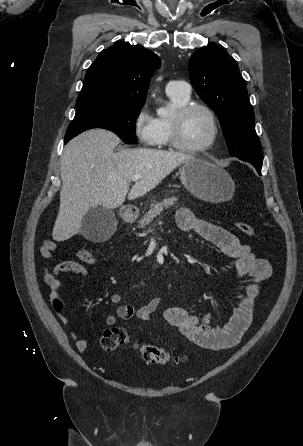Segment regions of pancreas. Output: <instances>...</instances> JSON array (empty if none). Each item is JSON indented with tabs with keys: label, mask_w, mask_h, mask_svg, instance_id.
I'll list each match as a JSON object with an SVG mask.
<instances>
[{
	"label": "pancreas",
	"mask_w": 303,
	"mask_h": 446,
	"mask_svg": "<svg viewBox=\"0 0 303 446\" xmlns=\"http://www.w3.org/2000/svg\"><path fill=\"white\" fill-rule=\"evenodd\" d=\"M176 200V197H171L165 198L161 202L152 203L149 211L139 220V227L144 228L151 224L152 221L164 211V209H168L170 206H173Z\"/></svg>",
	"instance_id": "1"
}]
</instances>
